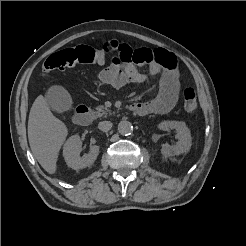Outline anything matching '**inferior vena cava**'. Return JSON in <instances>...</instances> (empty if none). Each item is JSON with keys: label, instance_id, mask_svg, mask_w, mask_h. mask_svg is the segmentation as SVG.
<instances>
[{"label": "inferior vena cava", "instance_id": "1", "mask_svg": "<svg viewBox=\"0 0 246 246\" xmlns=\"http://www.w3.org/2000/svg\"><path fill=\"white\" fill-rule=\"evenodd\" d=\"M98 128L103 132H108L112 128V122L102 121L98 124Z\"/></svg>", "mask_w": 246, "mask_h": 246}]
</instances>
